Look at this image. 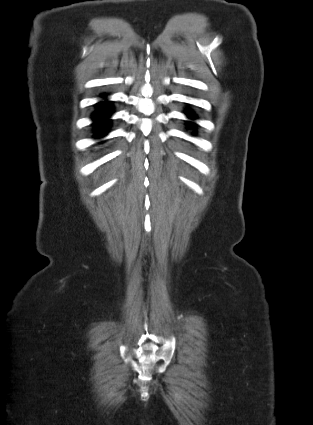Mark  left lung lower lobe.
<instances>
[{
  "instance_id": "0a47b994",
  "label": "left lung lower lobe",
  "mask_w": 313,
  "mask_h": 425,
  "mask_svg": "<svg viewBox=\"0 0 313 425\" xmlns=\"http://www.w3.org/2000/svg\"><path fill=\"white\" fill-rule=\"evenodd\" d=\"M188 114V116L190 117V118H193L194 117V115H191L190 113H187Z\"/></svg>"
}]
</instances>
